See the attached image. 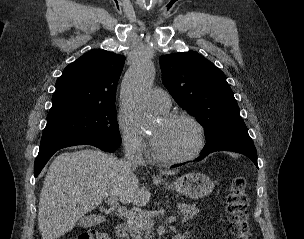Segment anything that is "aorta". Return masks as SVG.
Wrapping results in <instances>:
<instances>
[{"label":"aorta","mask_w":304,"mask_h":239,"mask_svg":"<svg viewBox=\"0 0 304 239\" xmlns=\"http://www.w3.org/2000/svg\"><path fill=\"white\" fill-rule=\"evenodd\" d=\"M154 66L152 61L143 57L136 61L123 80L121 99L135 122L146 126L151 122L152 114L148 106L147 91L153 84Z\"/></svg>","instance_id":"762f6f07"}]
</instances>
